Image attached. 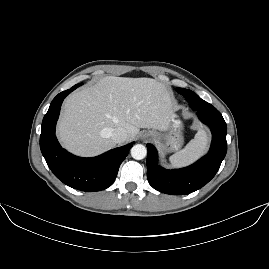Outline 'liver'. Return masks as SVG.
Listing matches in <instances>:
<instances>
[{
	"mask_svg": "<svg viewBox=\"0 0 269 269\" xmlns=\"http://www.w3.org/2000/svg\"><path fill=\"white\" fill-rule=\"evenodd\" d=\"M175 105L172 93L155 79L106 76L65 99L57 135L68 151L96 156L115 147L116 128L127 131V142L140 128L167 130Z\"/></svg>",
	"mask_w": 269,
	"mask_h": 269,
	"instance_id": "1",
	"label": "liver"
}]
</instances>
